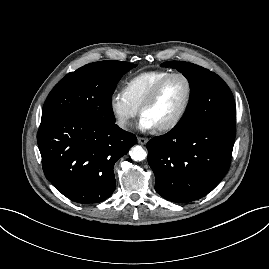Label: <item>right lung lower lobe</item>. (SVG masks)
Returning <instances> with one entry per match:
<instances>
[{
    "label": "right lung lower lobe",
    "instance_id": "98d812e1",
    "mask_svg": "<svg viewBox=\"0 0 269 269\" xmlns=\"http://www.w3.org/2000/svg\"><path fill=\"white\" fill-rule=\"evenodd\" d=\"M37 141L46 178L79 204L106 200L115 189L114 165L137 143L115 123L55 114L41 119Z\"/></svg>",
    "mask_w": 269,
    "mask_h": 269
}]
</instances>
